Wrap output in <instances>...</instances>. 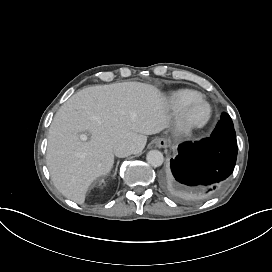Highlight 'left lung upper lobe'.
Here are the masks:
<instances>
[{
	"label": "left lung upper lobe",
	"mask_w": 272,
	"mask_h": 272,
	"mask_svg": "<svg viewBox=\"0 0 272 272\" xmlns=\"http://www.w3.org/2000/svg\"><path fill=\"white\" fill-rule=\"evenodd\" d=\"M210 137L231 143H237L233 122L227 113H222L221 119Z\"/></svg>",
	"instance_id": "obj_1"
}]
</instances>
